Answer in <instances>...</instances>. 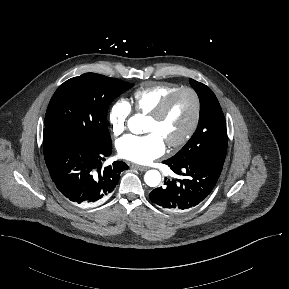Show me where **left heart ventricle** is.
<instances>
[{"label": "left heart ventricle", "instance_id": "1", "mask_svg": "<svg viewBox=\"0 0 289 289\" xmlns=\"http://www.w3.org/2000/svg\"><path fill=\"white\" fill-rule=\"evenodd\" d=\"M194 99L191 94H178L167 113L158 121L147 118L145 131L158 134L164 143L179 139L189 128L194 115Z\"/></svg>", "mask_w": 289, "mask_h": 289}]
</instances>
